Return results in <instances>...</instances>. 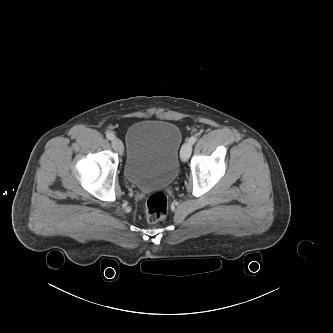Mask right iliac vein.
<instances>
[{
    "mask_svg": "<svg viewBox=\"0 0 333 333\" xmlns=\"http://www.w3.org/2000/svg\"><path fill=\"white\" fill-rule=\"evenodd\" d=\"M112 147L115 151L122 153L123 152V143L119 138H114L111 142Z\"/></svg>",
    "mask_w": 333,
    "mask_h": 333,
    "instance_id": "63e3f726",
    "label": "right iliac vein"
}]
</instances>
